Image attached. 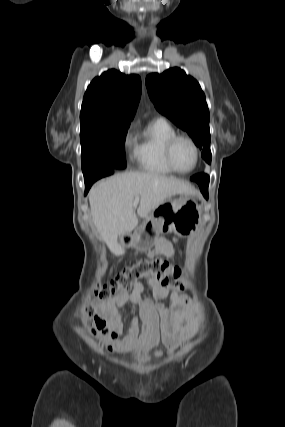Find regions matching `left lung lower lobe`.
<instances>
[{
  "instance_id": "1",
  "label": "left lung lower lobe",
  "mask_w": 285,
  "mask_h": 427,
  "mask_svg": "<svg viewBox=\"0 0 285 427\" xmlns=\"http://www.w3.org/2000/svg\"><path fill=\"white\" fill-rule=\"evenodd\" d=\"M192 181H196L205 198H208L209 176L206 174H197L191 177Z\"/></svg>"
}]
</instances>
